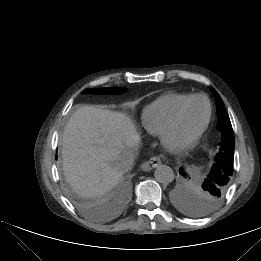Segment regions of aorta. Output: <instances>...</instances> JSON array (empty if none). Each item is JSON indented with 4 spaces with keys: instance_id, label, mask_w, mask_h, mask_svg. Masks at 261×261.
<instances>
[{
    "instance_id": "1",
    "label": "aorta",
    "mask_w": 261,
    "mask_h": 261,
    "mask_svg": "<svg viewBox=\"0 0 261 261\" xmlns=\"http://www.w3.org/2000/svg\"><path fill=\"white\" fill-rule=\"evenodd\" d=\"M154 177L159 183L168 184L174 180V172L167 165H160L155 169Z\"/></svg>"
}]
</instances>
